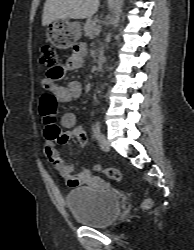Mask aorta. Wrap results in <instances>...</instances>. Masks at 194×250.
<instances>
[{
    "instance_id": "1",
    "label": "aorta",
    "mask_w": 194,
    "mask_h": 250,
    "mask_svg": "<svg viewBox=\"0 0 194 250\" xmlns=\"http://www.w3.org/2000/svg\"><path fill=\"white\" fill-rule=\"evenodd\" d=\"M122 6H123V0H114L113 19H112V25L114 28L118 26L120 15L122 12Z\"/></svg>"
}]
</instances>
